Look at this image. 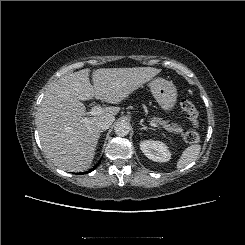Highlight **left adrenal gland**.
<instances>
[{
	"instance_id": "left-adrenal-gland-1",
	"label": "left adrenal gland",
	"mask_w": 245,
	"mask_h": 245,
	"mask_svg": "<svg viewBox=\"0 0 245 245\" xmlns=\"http://www.w3.org/2000/svg\"><path fill=\"white\" fill-rule=\"evenodd\" d=\"M140 125L142 126L141 130L152 129V128L146 127L142 122H140Z\"/></svg>"
}]
</instances>
